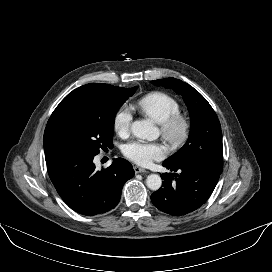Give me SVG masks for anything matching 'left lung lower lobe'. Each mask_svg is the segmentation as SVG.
<instances>
[{"label": "left lung lower lobe", "mask_w": 272, "mask_h": 272, "mask_svg": "<svg viewBox=\"0 0 272 272\" xmlns=\"http://www.w3.org/2000/svg\"><path fill=\"white\" fill-rule=\"evenodd\" d=\"M173 174L163 173L162 187L151 195L161 211L181 216L200 208L212 194L221 172L188 161L162 164Z\"/></svg>", "instance_id": "1"}]
</instances>
